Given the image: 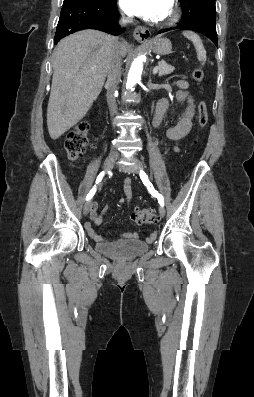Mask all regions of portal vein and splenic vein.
Returning <instances> with one entry per match:
<instances>
[{
  "mask_svg": "<svg viewBox=\"0 0 254 397\" xmlns=\"http://www.w3.org/2000/svg\"><path fill=\"white\" fill-rule=\"evenodd\" d=\"M158 71V66H156L155 68H154V73H156Z\"/></svg>",
  "mask_w": 254,
  "mask_h": 397,
  "instance_id": "18ae733b",
  "label": "portal vein and splenic vein"
}]
</instances>
